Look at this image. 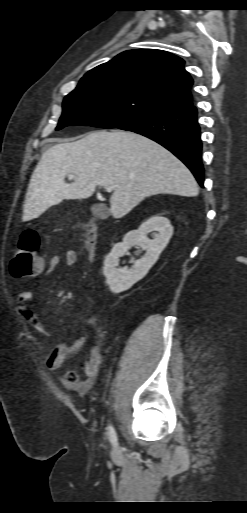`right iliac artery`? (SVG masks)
I'll use <instances>...</instances> for the list:
<instances>
[{
  "mask_svg": "<svg viewBox=\"0 0 247 513\" xmlns=\"http://www.w3.org/2000/svg\"><path fill=\"white\" fill-rule=\"evenodd\" d=\"M107 437L113 446L117 445V435L113 426H109L107 430Z\"/></svg>",
  "mask_w": 247,
  "mask_h": 513,
  "instance_id": "right-iliac-artery-1",
  "label": "right iliac artery"
}]
</instances>
